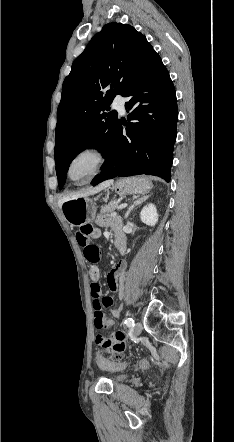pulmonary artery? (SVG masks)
<instances>
[{
	"instance_id": "e3ab8cb5",
	"label": "pulmonary artery",
	"mask_w": 234,
	"mask_h": 442,
	"mask_svg": "<svg viewBox=\"0 0 234 442\" xmlns=\"http://www.w3.org/2000/svg\"><path fill=\"white\" fill-rule=\"evenodd\" d=\"M113 107L121 114H125V99L120 96L116 97L113 101Z\"/></svg>"
}]
</instances>
